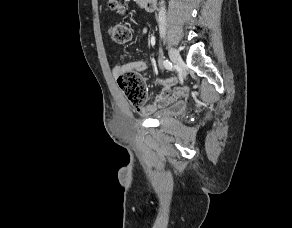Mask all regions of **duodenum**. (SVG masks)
Instances as JSON below:
<instances>
[{"label": "duodenum", "mask_w": 292, "mask_h": 228, "mask_svg": "<svg viewBox=\"0 0 292 228\" xmlns=\"http://www.w3.org/2000/svg\"><path fill=\"white\" fill-rule=\"evenodd\" d=\"M139 5L146 11H154L157 6V0H137Z\"/></svg>", "instance_id": "1"}]
</instances>
